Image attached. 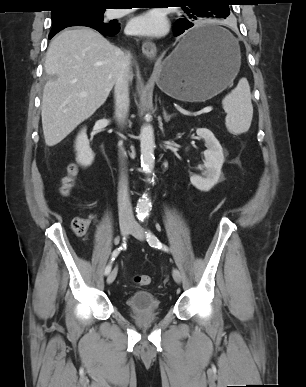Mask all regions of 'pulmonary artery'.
<instances>
[{
  "label": "pulmonary artery",
  "mask_w": 306,
  "mask_h": 387,
  "mask_svg": "<svg viewBox=\"0 0 306 387\" xmlns=\"http://www.w3.org/2000/svg\"><path fill=\"white\" fill-rule=\"evenodd\" d=\"M130 11V9H113L108 12V16L111 18H118L128 14Z\"/></svg>",
  "instance_id": "pulmonary-artery-1"
}]
</instances>
